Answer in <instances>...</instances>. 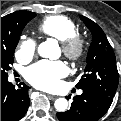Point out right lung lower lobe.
Masks as SVG:
<instances>
[{
	"instance_id": "98d812e1",
	"label": "right lung lower lobe",
	"mask_w": 121,
	"mask_h": 121,
	"mask_svg": "<svg viewBox=\"0 0 121 121\" xmlns=\"http://www.w3.org/2000/svg\"><path fill=\"white\" fill-rule=\"evenodd\" d=\"M16 89L7 78H1V121H18L30 104L29 87L25 84Z\"/></svg>"
}]
</instances>
